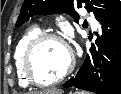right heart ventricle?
Instances as JSON below:
<instances>
[{"label": "right heart ventricle", "mask_w": 121, "mask_h": 94, "mask_svg": "<svg viewBox=\"0 0 121 94\" xmlns=\"http://www.w3.org/2000/svg\"><path fill=\"white\" fill-rule=\"evenodd\" d=\"M38 34H40V29L38 27H30L28 28L20 37L14 51V62H15V68L16 73L18 76V81L20 86L26 88L29 86V83L26 80V77L22 70V57L23 53L25 51L26 46L28 43L36 37Z\"/></svg>", "instance_id": "e07e8e85"}]
</instances>
